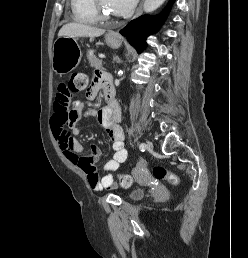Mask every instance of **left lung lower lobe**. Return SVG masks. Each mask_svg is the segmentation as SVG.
Segmentation results:
<instances>
[{
	"label": "left lung lower lobe",
	"instance_id": "1",
	"mask_svg": "<svg viewBox=\"0 0 248 258\" xmlns=\"http://www.w3.org/2000/svg\"><path fill=\"white\" fill-rule=\"evenodd\" d=\"M174 0H170L164 11L157 17L147 15L141 16L120 30V33L136 48L138 53H141L146 47V38L151 33L155 32L162 21L165 19Z\"/></svg>",
	"mask_w": 248,
	"mask_h": 258
}]
</instances>
